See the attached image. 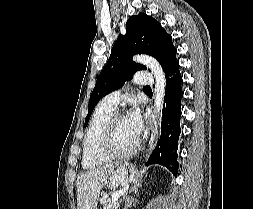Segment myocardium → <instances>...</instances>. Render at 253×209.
<instances>
[{
	"instance_id": "myocardium-1",
	"label": "myocardium",
	"mask_w": 253,
	"mask_h": 209,
	"mask_svg": "<svg viewBox=\"0 0 253 209\" xmlns=\"http://www.w3.org/2000/svg\"><path fill=\"white\" fill-rule=\"evenodd\" d=\"M121 113H113L105 122L99 137L98 153L102 157L110 160L126 159L135 154L140 146L139 139L136 140L134 146L125 152H116L112 148V130L117 120L123 118Z\"/></svg>"
}]
</instances>
